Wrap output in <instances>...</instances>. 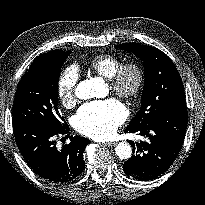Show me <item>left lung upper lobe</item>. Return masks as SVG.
I'll list each match as a JSON object with an SVG mask.
<instances>
[{
  "instance_id": "obj_1",
  "label": "left lung upper lobe",
  "mask_w": 205,
  "mask_h": 205,
  "mask_svg": "<svg viewBox=\"0 0 205 205\" xmlns=\"http://www.w3.org/2000/svg\"><path fill=\"white\" fill-rule=\"evenodd\" d=\"M116 48L134 53L144 62L145 67L141 108L127 128H138L165 110L186 104L178 70L164 52L135 42L119 44Z\"/></svg>"
}]
</instances>
